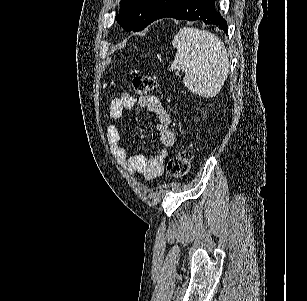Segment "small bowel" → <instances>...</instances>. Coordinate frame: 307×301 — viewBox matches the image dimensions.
Returning <instances> with one entry per match:
<instances>
[{"label": "small bowel", "mask_w": 307, "mask_h": 301, "mask_svg": "<svg viewBox=\"0 0 307 301\" xmlns=\"http://www.w3.org/2000/svg\"><path fill=\"white\" fill-rule=\"evenodd\" d=\"M155 114L157 123L156 130L161 144L160 153L152 158L141 154H131L128 149L121 145V134L115 125H108L106 138L111 153L119 164L130 174H142L146 179L153 180L164 173V161L167 150L175 142V136L170 129L171 117L163 107L161 100L152 95H145L136 100L129 93H123L113 98L109 105V113L112 119L119 120L123 117L125 110L132 109L136 104Z\"/></svg>", "instance_id": "1"}]
</instances>
